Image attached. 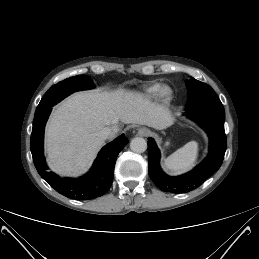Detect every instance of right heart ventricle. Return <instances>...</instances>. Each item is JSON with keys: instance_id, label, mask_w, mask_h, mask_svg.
I'll return each instance as SVG.
<instances>
[{"instance_id": "obj_1", "label": "right heart ventricle", "mask_w": 259, "mask_h": 259, "mask_svg": "<svg viewBox=\"0 0 259 259\" xmlns=\"http://www.w3.org/2000/svg\"><path fill=\"white\" fill-rule=\"evenodd\" d=\"M160 87L161 86L159 83L151 84L150 86L145 88L144 95L148 98L154 97L158 94Z\"/></svg>"}]
</instances>
